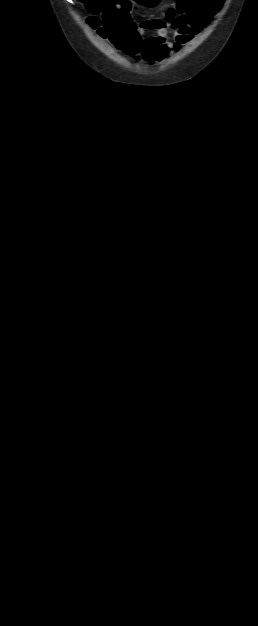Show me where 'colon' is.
Returning a JSON list of instances; mask_svg holds the SVG:
<instances>
[{
    "instance_id": "1",
    "label": "colon",
    "mask_w": 258,
    "mask_h": 626,
    "mask_svg": "<svg viewBox=\"0 0 258 626\" xmlns=\"http://www.w3.org/2000/svg\"><path fill=\"white\" fill-rule=\"evenodd\" d=\"M83 4H85L86 6H88L89 8L93 9V10H97V11H101L103 10L106 0H80ZM157 0H140L139 2L144 4V5H154L156 3ZM130 29L133 30L134 29V25H130Z\"/></svg>"
}]
</instances>
